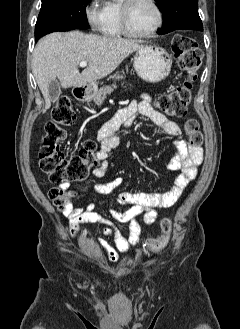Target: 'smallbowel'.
Returning a JSON list of instances; mask_svg holds the SVG:
<instances>
[{
    "label": "small bowel",
    "instance_id": "c3829d8e",
    "mask_svg": "<svg viewBox=\"0 0 240 329\" xmlns=\"http://www.w3.org/2000/svg\"><path fill=\"white\" fill-rule=\"evenodd\" d=\"M138 118H146L158 126L159 130L175 138L174 155L170 161V168L179 171L174 184L169 190L161 192H122L115 197V201L126 206L125 211H118L114 208L109 210L112 219L95 211V204L90 202L84 207L68 206L67 216L69 225L67 232L71 238H76L82 224L102 225L101 234L106 238H99L98 243L105 252L111 263H118L120 255L128 254L140 240L142 234L137 218L143 216L144 224L151 225L157 218V209L173 206L182 195L188 184L195 178L198 167L202 163V152L200 147L187 144L181 138L180 127L164 114L156 110L149 95L143 94L139 101H132L127 106L119 109L99 132L100 149L96 152L98 164L93 168L92 174L96 178H103L110 168V153L120 143V136L117 134L120 129H128ZM123 183L119 177L105 184H95L94 189L102 194L114 191ZM68 184H62L61 188L66 189ZM127 223L129 236L126 237L115 225Z\"/></svg>",
    "mask_w": 240,
    "mask_h": 329
}]
</instances>
